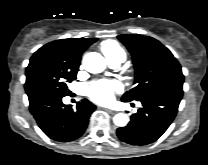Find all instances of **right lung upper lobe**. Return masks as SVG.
Masks as SVG:
<instances>
[{
    "label": "right lung upper lobe",
    "mask_w": 208,
    "mask_h": 165,
    "mask_svg": "<svg viewBox=\"0 0 208 165\" xmlns=\"http://www.w3.org/2000/svg\"><path fill=\"white\" fill-rule=\"evenodd\" d=\"M96 40V38L61 39L49 44L62 47L74 57L81 58L82 53Z\"/></svg>",
    "instance_id": "1"
}]
</instances>
